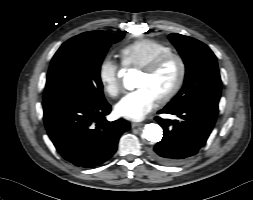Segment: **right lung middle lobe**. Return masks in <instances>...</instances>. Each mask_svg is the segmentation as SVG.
Segmentation results:
<instances>
[{
	"label": "right lung middle lobe",
	"mask_w": 253,
	"mask_h": 200,
	"mask_svg": "<svg viewBox=\"0 0 253 200\" xmlns=\"http://www.w3.org/2000/svg\"><path fill=\"white\" fill-rule=\"evenodd\" d=\"M123 37V33L105 37L82 33L66 41L52 58L43 103L66 100L95 104L104 101L100 66L110 45Z\"/></svg>",
	"instance_id": "1"
}]
</instances>
